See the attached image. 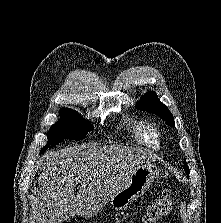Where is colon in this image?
Instances as JSON below:
<instances>
[{
	"instance_id": "1",
	"label": "colon",
	"mask_w": 221,
	"mask_h": 223,
	"mask_svg": "<svg viewBox=\"0 0 221 223\" xmlns=\"http://www.w3.org/2000/svg\"><path fill=\"white\" fill-rule=\"evenodd\" d=\"M172 199L169 193H164L150 203L136 223H159L171 210ZM62 223H70L65 220Z\"/></svg>"
}]
</instances>
